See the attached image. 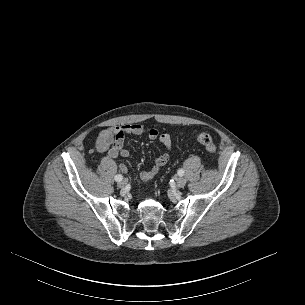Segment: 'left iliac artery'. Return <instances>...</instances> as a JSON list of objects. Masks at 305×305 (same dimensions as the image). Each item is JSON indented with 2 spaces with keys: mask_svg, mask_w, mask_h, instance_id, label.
Returning a JSON list of instances; mask_svg holds the SVG:
<instances>
[{
  "mask_svg": "<svg viewBox=\"0 0 305 305\" xmlns=\"http://www.w3.org/2000/svg\"><path fill=\"white\" fill-rule=\"evenodd\" d=\"M178 175L179 176H183L184 175V170L183 169H179L178 170Z\"/></svg>",
  "mask_w": 305,
  "mask_h": 305,
  "instance_id": "left-iliac-artery-1",
  "label": "left iliac artery"
}]
</instances>
